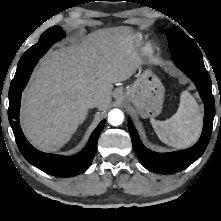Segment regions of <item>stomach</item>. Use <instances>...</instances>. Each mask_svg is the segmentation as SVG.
<instances>
[{"label":"stomach","instance_id":"obj_1","mask_svg":"<svg viewBox=\"0 0 221 221\" xmlns=\"http://www.w3.org/2000/svg\"><path fill=\"white\" fill-rule=\"evenodd\" d=\"M165 88L154 73L147 69L137 75L134 84L125 92V99L133 104L141 117H155L161 113Z\"/></svg>","mask_w":221,"mask_h":221}]
</instances>
